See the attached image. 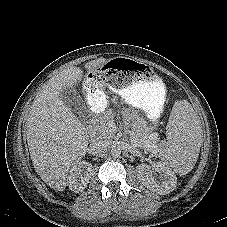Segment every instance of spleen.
I'll use <instances>...</instances> for the list:
<instances>
[{
    "mask_svg": "<svg viewBox=\"0 0 227 227\" xmlns=\"http://www.w3.org/2000/svg\"><path fill=\"white\" fill-rule=\"evenodd\" d=\"M200 121L185 100L174 104L168 125L169 145L161 153L166 164L176 173H189L197 160L201 145Z\"/></svg>",
    "mask_w": 227,
    "mask_h": 227,
    "instance_id": "obj_1",
    "label": "spleen"
}]
</instances>
